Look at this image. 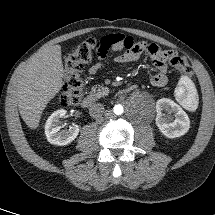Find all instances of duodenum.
I'll list each match as a JSON object with an SVG mask.
<instances>
[{
  "instance_id": "1",
  "label": "duodenum",
  "mask_w": 215,
  "mask_h": 215,
  "mask_svg": "<svg viewBox=\"0 0 215 215\" xmlns=\"http://www.w3.org/2000/svg\"><path fill=\"white\" fill-rule=\"evenodd\" d=\"M133 90H134V86H129V87L125 88L124 90H122L121 95H127ZM97 100H98V98L96 95L88 94L82 99L81 106L84 108H88V107L92 106Z\"/></svg>"
}]
</instances>
